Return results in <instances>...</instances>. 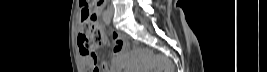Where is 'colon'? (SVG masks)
Masks as SVG:
<instances>
[{"instance_id":"5ec220e1","label":"colon","mask_w":267,"mask_h":72,"mask_svg":"<svg viewBox=\"0 0 267 72\" xmlns=\"http://www.w3.org/2000/svg\"><path fill=\"white\" fill-rule=\"evenodd\" d=\"M104 0H82L81 1V21L88 33L87 35H80L78 38V46L82 54L94 53V46L101 44L105 38L106 33L98 23V6ZM162 72H172L173 67L170 62L165 61L161 67Z\"/></svg>"}]
</instances>
